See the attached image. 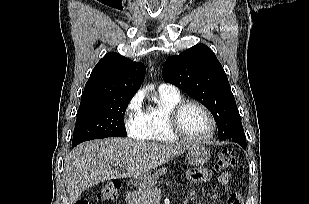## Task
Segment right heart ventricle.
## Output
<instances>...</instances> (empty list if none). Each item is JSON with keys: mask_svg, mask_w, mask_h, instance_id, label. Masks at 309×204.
Segmentation results:
<instances>
[{"mask_svg": "<svg viewBox=\"0 0 309 204\" xmlns=\"http://www.w3.org/2000/svg\"><path fill=\"white\" fill-rule=\"evenodd\" d=\"M179 92H159L156 105L143 112V139L152 142L172 143L178 140L170 131L167 123L169 110L180 100Z\"/></svg>", "mask_w": 309, "mask_h": 204, "instance_id": "obj_1", "label": "right heart ventricle"}]
</instances>
